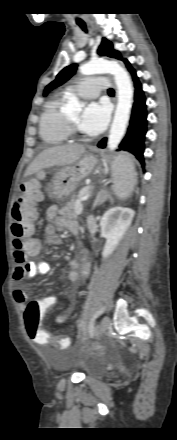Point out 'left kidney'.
Wrapping results in <instances>:
<instances>
[{"instance_id": "left-kidney-1", "label": "left kidney", "mask_w": 177, "mask_h": 440, "mask_svg": "<svg viewBox=\"0 0 177 440\" xmlns=\"http://www.w3.org/2000/svg\"><path fill=\"white\" fill-rule=\"evenodd\" d=\"M130 215L129 210L122 207H114L108 210L102 220L101 228L107 231V243L102 252L103 258H107L115 250L119 241L122 239L127 226L124 225L125 219Z\"/></svg>"}]
</instances>
